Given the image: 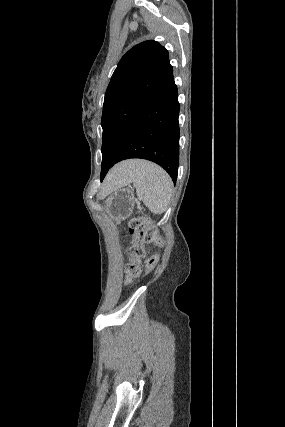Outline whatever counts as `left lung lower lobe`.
<instances>
[{"instance_id": "1", "label": "left lung lower lobe", "mask_w": 285, "mask_h": 427, "mask_svg": "<svg viewBox=\"0 0 285 427\" xmlns=\"http://www.w3.org/2000/svg\"><path fill=\"white\" fill-rule=\"evenodd\" d=\"M178 90L171 74L144 104L120 138L112 166L141 158L163 167L176 182L179 165Z\"/></svg>"}]
</instances>
